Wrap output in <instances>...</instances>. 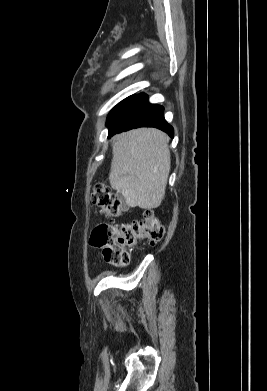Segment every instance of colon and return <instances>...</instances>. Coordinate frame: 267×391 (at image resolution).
<instances>
[{
  "mask_svg": "<svg viewBox=\"0 0 267 391\" xmlns=\"http://www.w3.org/2000/svg\"><path fill=\"white\" fill-rule=\"evenodd\" d=\"M91 202L102 214L110 219L119 218L124 212L121 200L111 190L97 184L91 192ZM165 229L152 211H145L140 219L120 226L102 223L91 233L92 246L103 249L105 261L117 266H127L130 262L129 249L139 242L160 241Z\"/></svg>",
  "mask_w": 267,
  "mask_h": 391,
  "instance_id": "obj_1",
  "label": "colon"
}]
</instances>
